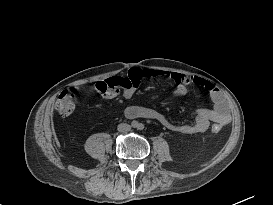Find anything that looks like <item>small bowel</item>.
Returning a JSON list of instances; mask_svg holds the SVG:
<instances>
[{
    "label": "small bowel",
    "instance_id": "c3829d8e",
    "mask_svg": "<svg viewBox=\"0 0 273 205\" xmlns=\"http://www.w3.org/2000/svg\"><path fill=\"white\" fill-rule=\"evenodd\" d=\"M138 71L143 79L152 80L159 77H166L176 83V87L171 92L172 97L185 96L191 92V87L193 85L198 86L209 93L210 98L213 101V107L199 108L196 117L191 124H175L165 115L144 106L129 107L127 109V115L129 117L151 118L160 122L165 128L183 134L205 132L209 128L211 122L219 126L229 123V106L225 97L223 93L210 81L197 76H189L177 72H166L157 69ZM131 72L126 76H110L104 78L98 81L94 88L101 96L107 99L115 98L120 93H122L125 99H131L136 93L135 86L130 84L129 76Z\"/></svg>",
    "mask_w": 273,
    "mask_h": 205
}]
</instances>
